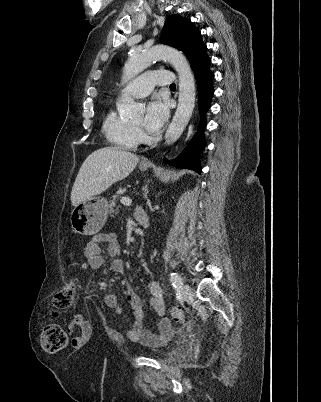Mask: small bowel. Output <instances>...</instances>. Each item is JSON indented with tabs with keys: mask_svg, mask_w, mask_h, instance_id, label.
<instances>
[{
	"mask_svg": "<svg viewBox=\"0 0 321 402\" xmlns=\"http://www.w3.org/2000/svg\"><path fill=\"white\" fill-rule=\"evenodd\" d=\"M103 245L108 246V253L113 257L112 269L117 273L124 274V263L119 257L121 254V246L116 233H101L88 241L84 251L88 266L94 270L104 268L105 260L101 255ZM148 290L150 293V308L157 315H164L166 307L163 299V292L159 283L155 280H150L148 283ZM126 293L134 317L132 328L127 332L128 338L132 342L140 343L149 347H158L169 341L173 334L170 321L166 318L162 319L158 324L157 333L145 329L143 324L145 314L141 298L129 284L126 285ZM105 304L113 309L117 315L122 314L123 309L117 294H106ZM68 331L73 333L72 345L74 347H80L89 336L91 330L83 316L76 314L68 325Z\"/></svg>",
	"mask_w": 321,
	"mask_h": 402,
	"instance_id": "c3829d8e",
	"label": "small bowel"
}]
</instances>
